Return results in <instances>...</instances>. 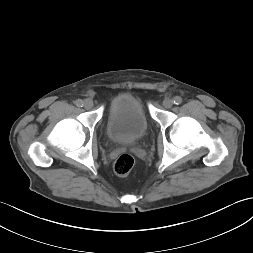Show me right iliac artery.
I'll return each instance as SVG.
<instances>
[{
    "label": "right iliac artery",
    "mask_w": 253,
    "mask_h": 253,
    "mask_svg": "<svg viewBox=\"0 0 253 253\" xmlns=\"http://www.w3.org/2000/svg\"><path fill=\"white\" fill-rule=\"evenodd\" d=\"M75 104H76V106H78V107H82V106H83V101L80 100V99H78V100L75 101Z\"/></svg>",
    "instance_id": "obj_1"
}]
</instances>
